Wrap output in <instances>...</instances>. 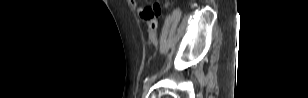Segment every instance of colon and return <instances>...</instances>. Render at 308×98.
<instances>
[{
	"instance_id": "colon-1",
	"label": "colon",
	"mask_w": 308,
	"mask_h": 98,
	"mask_svg": "<svg viewBox=\"0 0 308 98\" xmlns=\"http://www.w3.org/2000/svg\"><path fill=\"white\" fill-rule=\"evenodd\" d=\"M161 8L159 4L155 3L150 7H147L140 11L141 15H145L148 18L155 19L160 14ZM156 26L154 24H151L149 26V42L153 45L157 44V36L155 32Z\"/></svg>"
}]
</instances>
